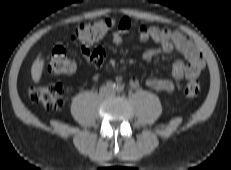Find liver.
<instances>
[{
    "mask_svg": "<svg viewBox=\"0 0 231 170\" xmlns=\"http://www.w3.org/2000/svg\"><path fill=\"white\" fill-rule=\"evenodd\" d=\"M43 66L44 60L41 58V54H39L31 67V76L35 83H38L41 79Z\"/></svg>",
    "mask_w": 231,
    "mask_h": 170,
    "instance_id": "1",
    "label": "liver"
}]
</instances>
